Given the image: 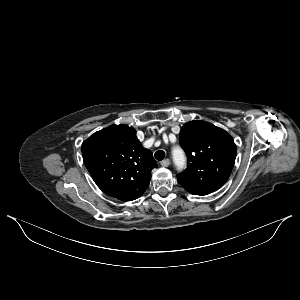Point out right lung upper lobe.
Segmentation results:
<instances>
[{"mask_svg":"<svg viewBox=\"0 0 300 300\" xmlns=\"http://www.w3.org/2000/svg\"><path fill=\"white\" fill-rule=\"evenodd\" d=\"M136 131L127 125H111L82 144L86 168L97 186L121 201L137 199L149 186L157 168L152 152L143 148Z\"/></svg>","mask_w":300,"mask_h":300,"instance_id":"cb5924a9","label":"right lung upper lobe"}]
</instances>
